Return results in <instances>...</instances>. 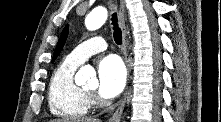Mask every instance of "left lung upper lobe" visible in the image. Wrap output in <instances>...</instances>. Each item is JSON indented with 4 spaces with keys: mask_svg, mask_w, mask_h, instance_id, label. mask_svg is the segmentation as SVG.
<instances>
[{
    "mask_svg": "<svg viewBox=\"0 0 221 122\" xmlns=\"http://www.w3.org/2000/svg\"><path fill=\"white\" fill-rule=\"evenodd\" d=\"M67 35H68V26H66L64 28V30L62 31V34H61L60 39L58 41V44L56 46V49H55L52 61H54L57 58V56L59 55L60 51L62 50V48L64 46V43L66 41Z\"/></svg>",
    "mask_w": 221,
    "mask_h": 122,
    "instance_id": "1",
    "label": "left lung upper lobe"
}]
</instances>
